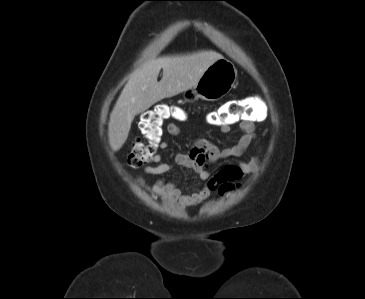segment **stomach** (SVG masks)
<instances>
[{
  "instance_id": "stomach-1",
  "label": "stomach",
  "mask_w": 365,
  "mask_h": 299,
  "mask_svg": "<svg viewBox=\"0 0 365 299\" xmlns=\"http://www.w3.org/2000/svg\"><path fill=\"white\" fill-rule=\"evenodd\" d=\"M237 81V69L229 60L221 58L213 62L200 77L198 83L184 91L187 102L198 99L217 101L230 92Z\"/></svg>"
}]
</instances>
